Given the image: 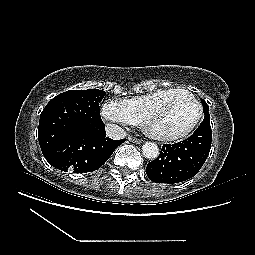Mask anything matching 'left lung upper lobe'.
<instances>
[{"instance_id": "left-lung-upper-lobe-1", "label": "left lung upper lobe", "mask_w": 255, "mask_h": 255, "mask_svg": "<svg viewBox=\"0 0 255 255\" xmlns=\"http://www.w3.org/2000/svg\"><path fill=\"white\" fill-rule=\"evenodd\" d=\"M202 105H203V109H204V115L205 113H209V106L207 105V103L201 99Z\"/></svg>"}]
</instances>
